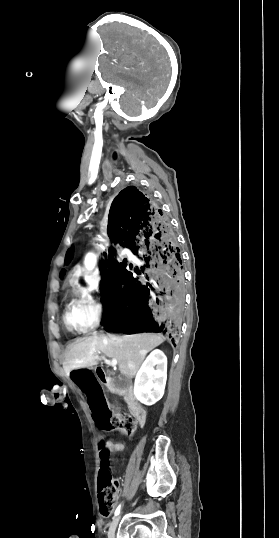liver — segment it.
Wrapping results in <instances>:
<instances>
[{
    "mask_svg": "<svg viewBox=\"0 0 279 538\" xmlns=\"http://www.w3.org/2000/svg\"><path fill=\"white\" fill-rule=\"evenodd\" d=\"M161 334H133V336H89L69 348V372L79 368H91L98 364L96 354L102 352L107 358L117 360L122 374L133 378L146 354L164 342Z\"/></svg>",
    "mask_w": 279,
    "mask_h": 538,
    "instance_id": "liver-1",
    "label": "liver"
}]
</instances>
